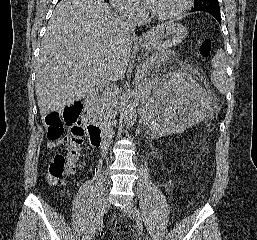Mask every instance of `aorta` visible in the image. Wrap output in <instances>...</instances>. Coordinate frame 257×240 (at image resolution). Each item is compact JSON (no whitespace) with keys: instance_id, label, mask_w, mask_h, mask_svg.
I'll return each mask as SVG.
<instances>
[{"instance_id":"obj_1","label":"aorta","mask_w":257,"mask_h":240,"mask_svg":"<svg viewBox=\"0 0 257 240\" xmlns=\"http://www.w3.org/2000/svg\"><path fill=\"white\" fill-rule=\"evenodd\" d=\"M137 118V103L133 99H127L125 109V120L127 128H130Z\"/></svg>"}]
</instances>
